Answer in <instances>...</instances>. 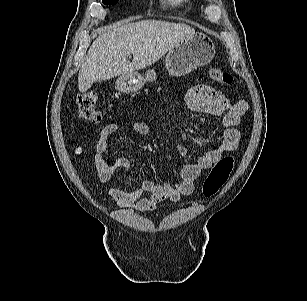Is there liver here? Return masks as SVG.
Masks as SVG:
<instances>
[{"label": "liver", "mask_w": 307, "mask_h": 301, "mask_svg": "<svg viewBox=\"0 0 307 301\" xmlns=\"http://www.w3.org/2000/svg\"><path fill=\"white\" fill-rule=\"evenodd\" d=\"M195 30L182 23L142 20L115 27L91 45L78 74V88L86 92L94 82L108 80L158 61L183 37ZM133 54L132 62L128 56Z\"/></svg>", "instance_id": "1"}]
</instances>
